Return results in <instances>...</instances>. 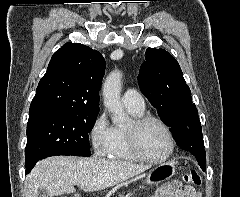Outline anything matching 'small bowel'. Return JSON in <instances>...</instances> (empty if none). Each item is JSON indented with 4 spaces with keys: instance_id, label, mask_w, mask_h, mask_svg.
<instances>
[{
    "instance_id": "1",
    "label": "small bowel",
    "mask_w": 240,
    "mask_h": 197,
    "mask_svg": "<svg viewBox=\"0 0 240 197\" xmlns=\"http://www.w3.org/2000/svg\"><path fill=\"white\" fill-rule=\"evenodd\" d=\"M156 197H159V195L157 194ZM165 197H201V194L197 189L190 186L180 187L172 185Z\"/></svg>"
}]
</instances>
